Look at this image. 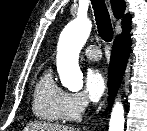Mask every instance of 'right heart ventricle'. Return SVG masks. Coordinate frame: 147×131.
Masks as SVG:
<instances>
[{
	"mask_svg": "<svg viewBox=\"0 0 147 131\" xmlns=\"http://www.w3.org/2000/svg\"><path fill=\"white\" fill-rule=\"evenodd\" d=\"M64 91L53 79L52 71L46 70L35 85L33 93V112L45 121H62L61 102Z\"/></svg>",
	"mask_w": 147,
	"mask_h": 131,
	"instance_id": "1",
	"label": "right heart ventricle"
}]
</instances>
